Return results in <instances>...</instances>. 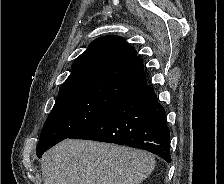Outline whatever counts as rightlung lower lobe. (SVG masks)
<instances>
[{
	"instance_id": "obj_1",
	"label": "right lung lower lobe",
	"mask_w": 224,
	"mask_h": 184,
	"mask_svg": "<svg viewBox=\"0 0 224 184\" xmlns=\"http://www.w3.org/2000/svg\"><path fill=\"white\" fill-rule=\"evenodd\" d=\"M165 117L156 94L145 83L132 88L97 119L68 138L144 149L170 163V131Z\"/></svg>"
}]
</instances>
